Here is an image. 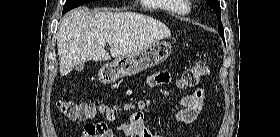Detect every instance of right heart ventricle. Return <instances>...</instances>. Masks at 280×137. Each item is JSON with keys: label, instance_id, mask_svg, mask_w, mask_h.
I'll use <instances>...</instances> for the list:
<instances>
[{"label": "right heart ventricle", "instance_id": "right-heart-ventricle-1", "mask_svg": "<svg viewBox=\"0 0 280 137\" xmlns=\"http://www.w3.org/2000/svg\"><path fill=\"white\" fill-rule=\"evenodd\" d=\"M148 2H162L164 9L174 15H185L190 11V7L185 0H145Z\"/></svg>", "mask_w": 280, "mask_h": 137}]
</instances>
